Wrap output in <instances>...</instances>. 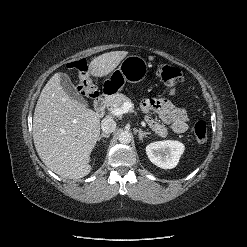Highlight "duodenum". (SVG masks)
<instances>
[{"label": "duodenum", "instance_id": "1", "mask_svg": "<svg viewBox=\"0 0 247 247\" xmlns=\"http://www.w3.org/2000/svg\"><path fill=\"white\" fill-rule=\"evenodd\" d=\"M107 98H108L107 93H102L98 97H96L94 101V108L97 113L101 114L103 112Z\"/></svg>", "mask_w": 247, "mask_h": 247}]
</instances>
